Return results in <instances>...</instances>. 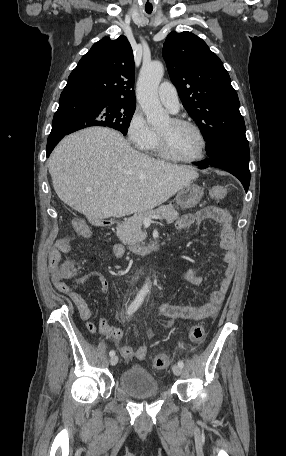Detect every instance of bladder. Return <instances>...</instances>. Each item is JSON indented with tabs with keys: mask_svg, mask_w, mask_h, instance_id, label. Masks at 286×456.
I'll list each match as a JSON object with an SVG mask.
<instances>
[{
	"mask_svg": "<svg viewBox=\"0 0 286 456\" xmlns=\"http://www.w3.org/2000/svg\"><path fill=\"white\" fill-rule=\"evenodd\" d=\"M122 390L136 399H146L161 393L156 378L140 365L126 369L119 378Z\"/></svg>",
	"mask_w": 286,
	"mask_h": 456,
	"instance_id": "bladder-1",
	"label": "bladder"
}]
</instances>
